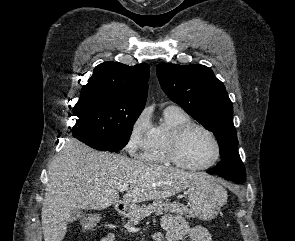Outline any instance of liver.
<instances>
[{"label":"liver","mask_w":295,"mask_h":241,"mask_svg":"<svg viewBox=\"0 0 295 241\" xmlns=\"http://www.w3.org/2000/svg\"><path fill=\"white\" fill-rule=\"evenodd\" d=\"M210 180L201 173L96 152L68 139L48 168L41 212L44 240L62 241L75 210H102L120 203V185L129 186L123 202L130 205L168 198Z\"/></svg>","instance_id":"1"}]
</instances>
